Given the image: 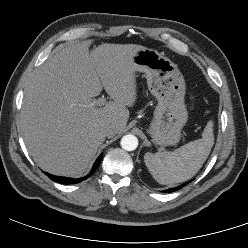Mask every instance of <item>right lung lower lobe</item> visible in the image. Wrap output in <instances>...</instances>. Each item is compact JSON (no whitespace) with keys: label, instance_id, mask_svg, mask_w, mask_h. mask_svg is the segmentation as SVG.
<instances>
[{"label":"right lung lower lobe","instance_id":"98d812e1","mask_svg":"<svg viewBox=\"0 0 248 248\" xmlns=\"http://www.w3.org/2000/svg\"><path fill=\"white\" fill-rule=\"evenodd\" d=\"M101 160H102V154L95 161L91 172L87 176H84L82 178L74 179V178L60 177V176H54V175H51V174H48V173H46V175H48V177L50 179H52L53 181L58 182L60 184H75V183H79L81 181H84V180L88 179L96 171V169L99 167V165L101 163Z\"/></svg>","mask_w":248,"mask_h":248}]
</instances>
